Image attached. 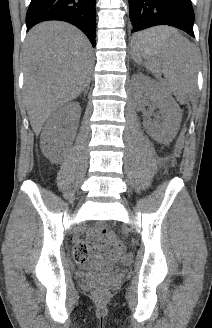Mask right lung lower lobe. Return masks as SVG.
<instances>
[{"mask_svg": "<svg viewBox=\"0 0 212 328\" xmlns=\"http://www.w3.org/2000/svg\"><path fill=\"white\" fill-rule=\"evenodd\" d=\"M46 20H61L75 25L95 47V0H31L26 14L27 31Z\"/></svg>", "mask_w": 212, "mask_h": 328, "instance_id": "98d812e1", "label": "right lung lower lobe"}]
</instances>
